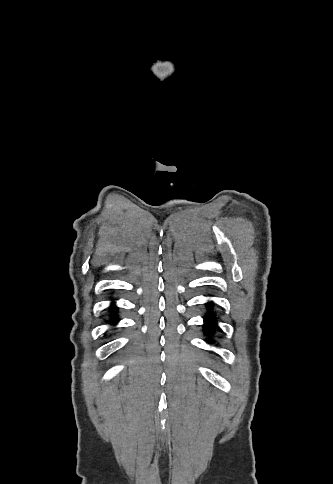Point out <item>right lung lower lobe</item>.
Instances as JSON below:
<instances>
[{"label":"right lung lower lobe","mask_w":333,"mask_h":484,"mask_svg":"<svg viewBox=\"0 0 333 484\" xmlns=\"http://www.w3.org/2000/svg\"><path fill=\"white\" fill-rule=\"evenodd\" d=\"M113 309H116V307H113ZM117 317L115 315H112V323L117 322Z\"/></svg>","instance_id":"1"}]
</instances>
